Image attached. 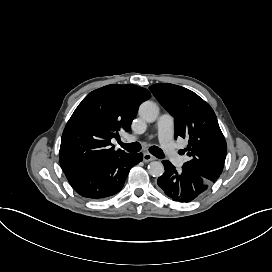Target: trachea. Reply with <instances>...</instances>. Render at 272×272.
<instances>
[{"mask_svg":"<svg viewBox=\"0 0 272 272\" xmlns=\"http://www.w3.org/2000/svg\"><path fill=\"white\" fill-rule=\"evenodd\" d=\"M119 145H120V147L124 148L128 152H138L141 149V145L138 142L128 143V144L119 142ZM149 151L151 154H153L154 156H156L158 158L164 157L163 151L156 146H151L149 148Z\"/></svg>","mask_w":272,"mask_h":272,"instance_id":"obj_1","label":"trachea"}]
</instances>
